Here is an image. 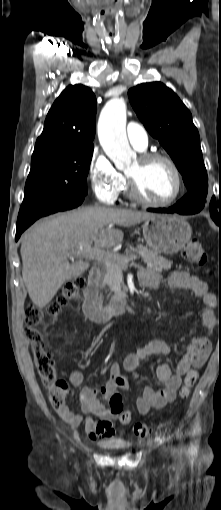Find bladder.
<instances>
[{
    "label": "bladder",
    "mask_w": 221,
    "mask_h": 510,
    "mask_svg": "<svg viewBox=\"0 0 221 510\" xmlns=\"http://www.w3.org/2000/svg\"><path fill=\"white\" fill-rule=\"evenodd\" d=\"M108 449L122 450L127 449L128 447L118 442H106L103 444Z\"/></svg>",
    "instance_id": "obj_1"
}]
</instances>
